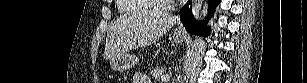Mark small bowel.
<instances>
[{
	"instance_id": "c3829d8e",
	"label": "small bowel",
	"mask_w": 307,
	"mask_h": 83,
	"mask_svg": "<svg viewBox=\"0 0 307 83\" xmlns=\"http://www.w3.org/2000/svg\"><path fill=\"white\" fill-rule=\"evenodd\" d=\"M134 83H151L150 79L144 73H136L133 77Z\"/></svg>"
}]
</instances>
